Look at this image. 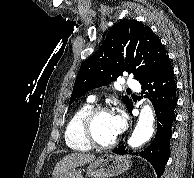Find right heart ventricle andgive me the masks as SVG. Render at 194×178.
I'll list each match as a JSON object with an SVG mask.
<instances>
[{
    "label": "right heart ventricle",
    "instance_id": "e07e8e85",
    "mask_svg": "<svg viewBox=\"0 0 194 178\" xmlns=\"http://www.w3.org/2000/svg\"><path fill=\"white\" fill-rule=\"evenodd\" d=\"M92 108L91 103L87 102L79 106L70 117L65 129V142L67 146L76 151H88L90 146L82 137L81 122L85 114Z\"/></svg>",
    "mask_w": 194,
    "mask_h": 178
}]
</instances>
